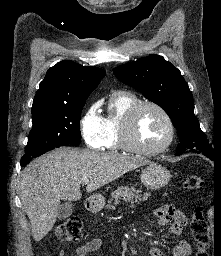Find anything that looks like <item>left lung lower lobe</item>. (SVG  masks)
<instances>
[{
  "label": "left lung lower lobe",
  "mask_w": 221,
  "mask_h": 256,
  "mask_svg": "<svg viewBox=\"0 0 221 256\" xmlns=\"http://www.w3.org/2000/svg\"><path fill=\"white\" fill-rule=\"evenodd\" d=\"M193 151H194V152H197V153H201V154H203L204 156L210 158L211 160H214V161H215V159H216L215 154L202 153V152L197 151V150H193ZM179 154H180V153H178V155H179Z\"/></svg>",
  "instance_id": "left-lung-lower-lobe-1"
}]
</instances>
